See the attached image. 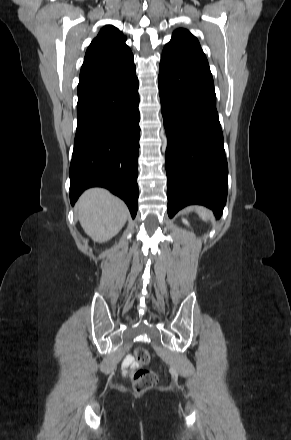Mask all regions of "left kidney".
<instances>
[{"label":"left kidney","instance_id":"left-kidney-1","mask_svg":"<svg viewBox=\"0 0 291 440\" xmlns=\"http://www.w3.org/2000/svg\"><path fill=\"white\" fill-rule=\"evenodd\" d=\"M183 222L188 225V221L187 220L183 219Z\"/></svg>","mask_w":291,"mask_h":440}]
</instances>
